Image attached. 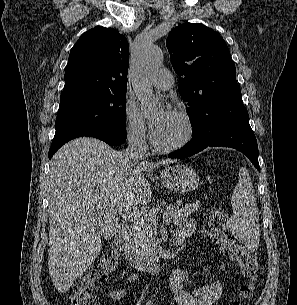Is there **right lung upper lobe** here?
<instances>
[{"label": "right lung upper lobe", "mask_w": 297, "mask_h": 305, "mask_svg": "<svg viewBox=\"0 0 297 305\" xmlns=\"http://www.w3.org/2000/svg\"><path fill=\"white\" fill-rule=\"evenodd\" d=\"M129 46L112 28L85 32L71 49L60 99L127 90Z\"/></svg>", "instance_id": "cb5924a9"}]
</instances>
